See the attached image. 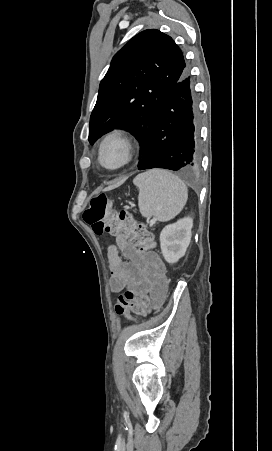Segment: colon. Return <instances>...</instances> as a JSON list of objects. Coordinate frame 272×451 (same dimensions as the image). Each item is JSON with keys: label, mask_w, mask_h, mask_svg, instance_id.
<instances>
[{"label": "colon", "mask_w": 272, "mask_h": 451, "mask_svg": "<svg viewBox=\"0 0 272 451\" xmlns=\"http://www.w3.org/2000/svg\"><path fill=\"white\" fill-rule=\"evenodd\" d=\"M82 217L94 233L98 235L108 233L113 239H122L120 244L122 249L132 246L147 247L150 244L149 230H146L143 224L136 222L128 211L124 209L114 211L112 201L105 193L93 195ZM111 305L116 307L120 314L146 313L148 310L147 297L130 290L118 298H113Z\"/></svg>", "instance_id": "5ec220e1"}]
</instances>
